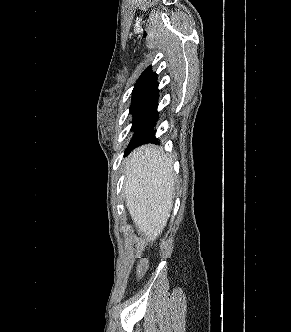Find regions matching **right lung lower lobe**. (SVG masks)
<instances>
[{"label": "right lung lower lobe", "mask_w": 291, "mask_h": 332, "mask_svg": "<svg viewBox=\"0 0 291 332\" xmlns=\"http://www.w3.org/2000/svg\"><path fill=\"white\" fill-rule=\"evenodd\" d=\"M158 92L149 96L139 107L133 119L132 130H134L133 138L131 139L126 154L137 147L138 145L149 140H156L155 133H153L154 126L158 120L157 99Z\"/></svg>", "instance_id": "1"}]
</instances>
